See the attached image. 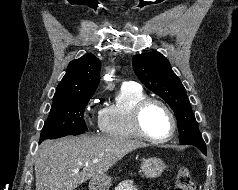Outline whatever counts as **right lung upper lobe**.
<instances>
[{"label":"right lung upper lobe","mask_w":238,"mask_h":190,"mask_svg":"<svg viewBox=\"0 0 238 190\" xmlns=\"http://www.w3.org/2000/svg\"><path fill=\"white\" fill-rule=\"evenodd\" d=\"M100 61L93 54H86L69 63L65 76L57 86L53 101L80 94H94L100 78Z\"/></svg>","instance_id":"cb5924a9"}]
</instances>
